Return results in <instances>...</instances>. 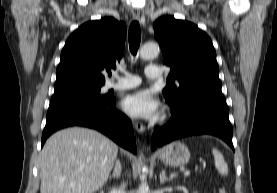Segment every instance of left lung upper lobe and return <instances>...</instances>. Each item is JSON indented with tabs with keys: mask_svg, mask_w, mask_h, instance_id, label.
Here are the masks:
<instances>
[{
	"mask_svg": "<svg viewBox=\"0 0 277 193\" xmlns=\"http://www.w3.org/2000/svg\"><path fill=\"white\" fill-rule=\"evenodd\" d=\"M153 28L163 62L171 68L169 76L173 79L163 95L172 108L180 107L195 92L221 90L216 52L205 32L173 16L160 17Z\"/></svg>",
	"mask_w": 277,
	"mask_h": 193,
	"instance_id": "1",
	"label": "left lung upper lobe"
}]
</instances>
